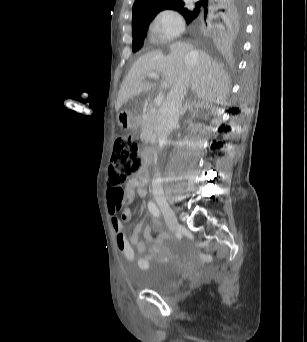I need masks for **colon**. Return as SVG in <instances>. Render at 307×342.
Masks as SVG:
<instances>
[{
  "instance_id": "5ec220e1",
  "label": "colon",
  "mask_w": 307,
  "mask_h": 342,
  "mask_svg": "<svg viewBox=\"0 0 307 342\" xmlns=\"http://www.w3.org/2000/svg\"><path fill=\"white\" fill-rule=\"evenodd\" d=\"M140 165V146L137 139L131 135L118 136L108 175V192L111 198V207H116V191L119 189L123 191V183L128 176L140 168Z\"/></svg>"
}]
</instances>
